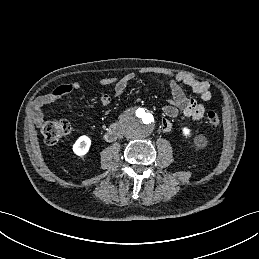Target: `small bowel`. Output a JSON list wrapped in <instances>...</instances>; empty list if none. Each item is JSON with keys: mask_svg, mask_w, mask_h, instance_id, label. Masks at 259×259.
I'll return each instance as SVG.
<instances>
[{"mask_svg": "<svg viewBox=\"0 0 259 259\" xmlns=\"http://www.w3.org/2000/svg\"><path fill=\"white\" fill-rule=\"evenodd\" d=\"M171 89L169 103L163 107L165 118L161 121V129L164 132L171 131L173 124L171 119L176 118L181 112L183 116L194 121L200 120L205 114V107L202 103L186 96L182 86H188L192 91L200 95L202 101L207 102L212 98L210 84L207 81H199L191 74L180 72H165ZM135 78L132 72L126 73L121 77H107L100 80L101 86H113V95H121L128 84ZM85 81H76L70 84H63L53 89L48 94L38 97L32 104L31 115L34 123L41 126L44 121L43 108L49 105H56L59 100L71 93L73 90L80 89ZM112 96L106 93L101 94L100 101L103 105L111 103Z\"/></svg>", "mask_w": 259, "mask_h": 259, "instance_id": "1", "label": "small bowel"}]
</instances>
